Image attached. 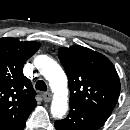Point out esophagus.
Instances as JSON below:
<instances>
[{
    "label": "esophagus",
    "instance_id": "obj_1",
    "mask_svg": "<svg viewBox=\"0 0 130 130\" xmlns=\"http://www.w3.org/2000/svg\"><path fill=\"white\" fill-rule=\"evenodd\" d=\"M43 98H44L45 102H50L51 98H52V95H51L50 92H46V93L43 94Z\"/></svg>",
    "mask_w": 130,
    "mask_h": 130
}]
</instances>
